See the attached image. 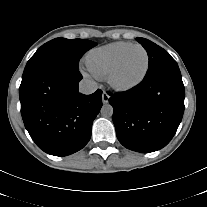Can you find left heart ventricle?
Wrapping results in <instances>:
<instances>
[{
	"mask_svg": "<svg viewBox=\"0 0 207 207\" xmlns=\"http://www.w3.org/2000/svg\"><path fill=\"white\" fill-rule=\"evenodd\" d=\"M146 64V56L142 49L134 48L124 59L116 73L115 80L118 83H130L135 81L143 72Z\"/></svg>",
	"mask_w": 207,
	"mask_h": 207,
	"instance_id": "obj_1",
	"label": "left heart ventricle"
}]
</instances>
